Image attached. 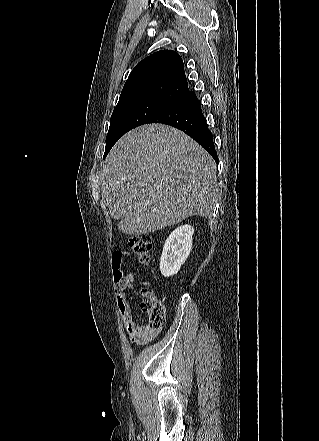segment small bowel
Wrapping results in <instances>:
<instances>
[{
  "label": "small bowel",
  "instance_id": "c3829d8e",
  "mask_svg": "<svg viewBox=\"0 0 319 441\" xmlns=\"http://www.w3.org/2000/svg\"><path fill=\"white\" fill-rule=\"evenodd\" d=\"M124 258V252L120 250H116L113 252V264H118L122 266ZM134 285V274L131 272L125 273L123 275V287H116V301L126 333L132 341L143 344L155 339L160 332V328H153L150 325H142L135 320L127 295V291L132 289Z\"/></svg>",
  "mask_w": 319,
  "mask_h": 441
}]
</instances>
